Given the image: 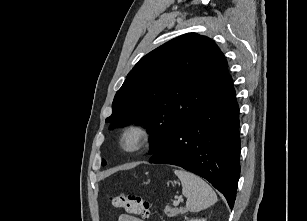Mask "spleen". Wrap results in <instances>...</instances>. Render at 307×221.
<instances>
[{
    "mask_svg": "<svg viewBox=\"0 0 307 221\" xmlns=\"http://www.w3.org/2000/svg\"><path fill=\"white\" fill-rule=\"evenodd\" d=\"M174 173L181 180L187 210L198 212L217 202L216 193L202 178L185 170H175Z\"/></svg>",
    "mask_w": 307,
    "mask_h": 221,
    "instance_id": "obj_1",
    "label": "spleen"
}]
</instances>
